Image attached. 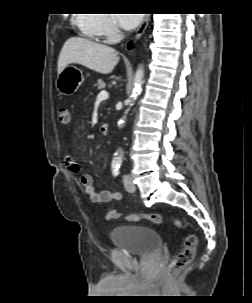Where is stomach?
Wrapping results in <instances>:
<instances>
[{
	"mask_svg": "<svg viewBox=\"0 0 252 303\" xmlns=\"http://www.w3.org/2000/svg\"><path fill=\"white\" fill-rule=\"evenodd\" d=\"M84 81L83 73L75 66L67 65L57 76L56 88L63 95H71L77 91Z\"/></svg>",
	"mask_w": 252,
	"mask_h": 303,
	"instance_id": "obj_1",
	"label": "stomach"
}]
</instances>
